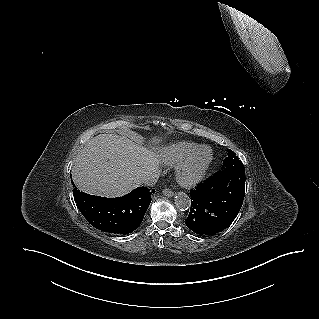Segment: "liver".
I'll use <instances>...</instances> for the list:
<instances>
[{
	"label": "liver",
	"mask_w": 319,
	"mask_h": 319,
	"mask_svg": "<svg viewBox=\"0 0 319 319\" xmlns=\"http://www.w3.org/2000/svg\"><path fill=\"white\" fill-rule=\"evenodd\" d=\"M158 144L159 138H153ZM159 147L146 148L118 134H99L77 154L73 181L82 191L104 197L123 196L141 185V177L158 170Z\"/></svg>",
	"instance_id": "6515ba94"
}]
</instances>
